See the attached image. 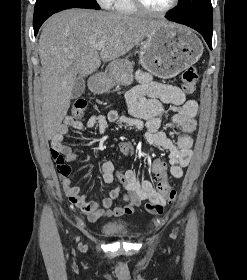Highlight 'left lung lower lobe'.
<instances>
[{"mask_svg":"<svg viewBox=\"0 0 247 280\" xmlns=\"http://www.w3.org/2000/svg\"><path fill=\"white\" fill-rule=\"evenodd\" d=\"M167 19L195 29L204 37L209 48L212 49L213 18L179 17L170 13Z\"/></svg>","mask_w":247,"mask_h":280,"instance_id":"1","label":"left lung lower lobe"}]
</instances>
